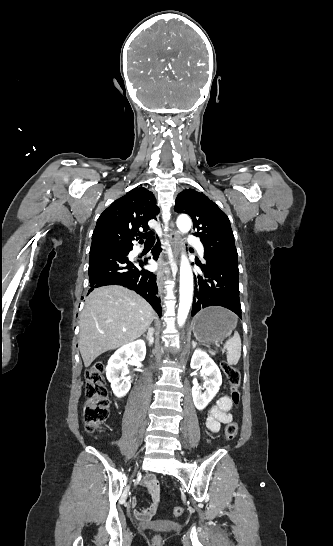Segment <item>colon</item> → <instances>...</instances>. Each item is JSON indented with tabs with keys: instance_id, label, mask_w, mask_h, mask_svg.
I'll return each mask as SVG.
<instances>
[{
	"instance_id": "colon-1",
	"label": "colon",
	"mask_w": 333,
	"mask_h": 546,
	"mask_svg": "<svg viewBox=\"0 0 333 546\" xmlns=\"http://www.w3.org/2000/svg\"><path fill=\"white\" fill-rule=\"evenodd\" d=\"M223 373L227 379L231 390V400L237 405L240 400L239 385L241 375L238 368L223 361L221 363ZM86 401L84 405L83 421L84 427L88 432L96 431L106 420L109 408L107 398V388L104 379V365L96 363L86 371ZM238 433V424L230 422L225 427L224 435L227 440H232ZM183 513L181 506H176L172 510L174 517H179ZM154 541L159 542V537H155Z\"/></svg>"
}]
</instances>
